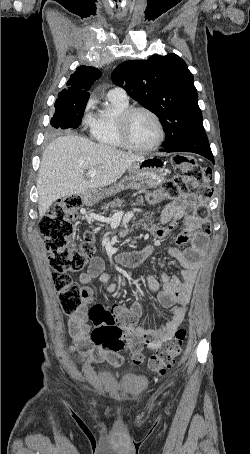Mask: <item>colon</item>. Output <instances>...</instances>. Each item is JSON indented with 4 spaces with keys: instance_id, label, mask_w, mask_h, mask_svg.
<instances>
[{
    "instance_id": "5ec220e1",
    "label": "colon",
    "mask_w": 250,
    "mask_h": 454,
    "mask_svg": "<svg viewBox=\"0 0 250 454\" xmlns=\"http://www.w3.org/2000/svg\"><path fill=\"white\" fill-rule=\"evenodd\" d=\"M177 174L163 182L160 187L147 195L150 203L162 200H176L184 195L189 183L195 180L202 182L198 190V204L194 210L199 222V230L208 235L211 232L210 211L208 201L213 195L211 186L212 169L198 165L194 158L177 154L173 157ZM82 204L80 195H69L59 199L42 218L39 230L44 237L49 254V264L53 281L58 293V301L62 310L68 314L77 312L81 307V293L72 273L85 269L89 258L95 251L94 238L86 233L80 243L73 240L74 223L77 211ZM88 316L94 324L91 340L96 345L119 353L128 350L133 354L136 364L143 361L141 354L142 336L135 327L136 320L129 314L117 317L102 305H93ZM186 332L179 329L175 337L164 347L158 349L147 362L148 368L157 374H163L171 368L177 357L182 353V345Z\"/></svg>"
}]
</instances>
